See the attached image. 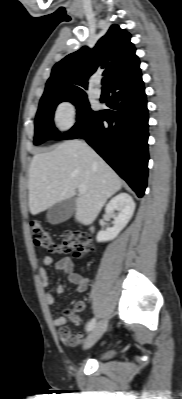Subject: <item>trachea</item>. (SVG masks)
I'll return each mask as SVG.
<instances>
[{"instance_id":"3493384b","label":"trachea","mask_w":182,"mask_h":399,"mask_svg":"<svg viewBox=\"0 0 182 399\" xmlns=\"http://www.w3.org/2000/svg\"><path fill=\"white\" fill-rule=\"evenodd\" d=\"M107 82H108L107 78H103L102 80L103 88H106Z\"/></svg>"}]
</instances>
